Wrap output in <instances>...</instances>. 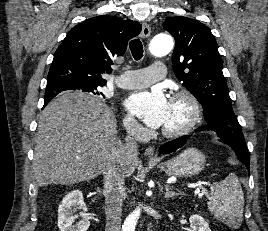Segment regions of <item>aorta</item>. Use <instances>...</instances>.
I'll return each instance as SVG.
<instances>
[{"label":"aorta","instance_id":"1","mask_svg":"<svg viewBox=\"0 0 268 231\" xmlns=\"http://www.w3.org/2000/svg\"><path fill=\"white\" fill-rule=\"evenodd\" d=\"M173 45L174 43L171 36L167 34H159L151 41L149 48L150 53L155 57H163L172 50ZM140 214V208H136L133 212H131L124 221L122 231H135Z\"/></svg>","mask_w":268,"mask_h":231}]
</instances>
